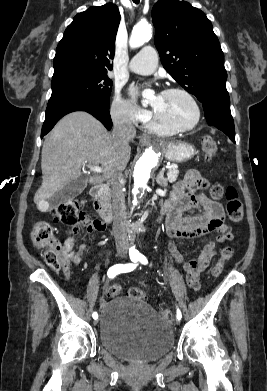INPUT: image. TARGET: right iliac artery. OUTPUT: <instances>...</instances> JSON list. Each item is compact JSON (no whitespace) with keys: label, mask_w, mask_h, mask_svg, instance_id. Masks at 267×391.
I'll list each match as a JSON object with an SVG mask.
<instances>
[{"label":"right iliac artery","mask_w":267,"mask_h":391,"mask_svg":"<svg viewBox=\"0 0 267 391\" xmlns=\"http://www.w3.org/2000/svg\"><path fill=\"white\" fill-rule=\"evenodd\" d=\"M131 260H132V262H134L133 264H125V265L117 264V265H114L111 268H109V270L107 272L108 277L114 278L119 273L130 272V271L134 270L137 266L136 262L138 261V259L136 257H131ZM92 316L94 319L98 318V315L96 312H94Z\"/></svg>","instance_id":"1"}]
</instances>
